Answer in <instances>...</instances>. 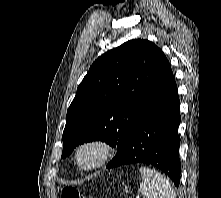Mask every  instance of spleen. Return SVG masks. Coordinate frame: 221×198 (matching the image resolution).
<instances>
[{
  "mask_svg": "<svg viewBox=\"0 0 221 198\" xmlns=\"http://www.w3.org/2000/svg\"><path fill=\"white\" fill-rule=\"evenodd\" d=\"M140 191L144 198H176V193L170 181L160 172L141 167Z\"/></svg>",
  "mask_w": 221,
  "mask_h": 198,
  "instance_id": "1",
  "label": "spleen"
}]
</instances>
